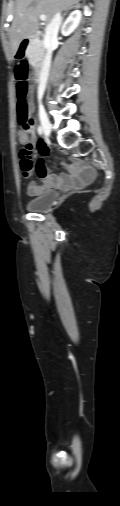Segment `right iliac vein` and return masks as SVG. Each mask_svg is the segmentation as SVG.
Returning a JSON list of instances; mask_svg holds the SVG:
<instances>
[{"label":"right iliac vein","instance_id":"1","mask_svg":"<svg viewBox=\"0 0 120 506\" xmlns=\"http://www.w3.org/2000/svg\"><path fill=\"white\" fill-rule=\"evenodd\" d=\"M39 115H40V121H41L43 132L45 135L49 136L50 132H51V124H50L49 118L43 109L40 110Z\"/></svg>","mask_w":120,"mask_h":506}]
</instances>
